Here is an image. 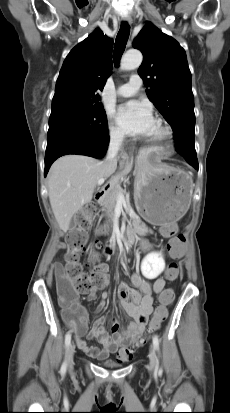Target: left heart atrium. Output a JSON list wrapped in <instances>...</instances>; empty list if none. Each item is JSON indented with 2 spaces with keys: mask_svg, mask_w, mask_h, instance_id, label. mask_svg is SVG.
I'll use <instances>...</instances> for the list:
<instances>
[{
  "mask_svg": "<svg viewBox=\"0 0 230 413\" xmlns=\"http://www.w3.org/2000/svg\"><path fill=\"white\" fill-rule=\"evenodd\" d=\"M117 122L129 134L146 136L155 125L151 108L140 101H128L117 111Z\"/></svg>",
  "mask_w": 230,
  "mask_h": 413,
  "instance_id": "obj_1",
  "label": "left heart atrium"
}]
</instances>
